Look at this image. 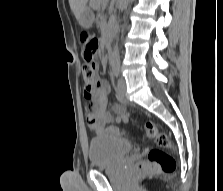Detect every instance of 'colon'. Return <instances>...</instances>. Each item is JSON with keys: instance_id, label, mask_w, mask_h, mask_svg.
I'll return each instance as SVG.
<instances>
[{"instance_id": "obj_1", "label": "colon", "mask_w": 223, "mask_h": 191, "mask_svg": "<svg viewBox=\"0 0 223 191\" xmlns=\"http://www.w3.org/2000/svg\"><path fill=\"white\" fill-rule=\"evenodd\" d=\"M83 44L85 63L82 65V75L86 83L90 84L94 81L95 77L99 40L93 35L85 34ZM145 132L149 138L156 141L157 148H153L148 152L146 161H140L136 164V171L139 173L153 171H159L163 174L173 173L176 168V162L165 150L172 146L170 137L164 132H159L155 123L152 121L146 122ZM109 133L115 136L123 135V132L116 127H111Z\"/></svg>"}]
</instances>
